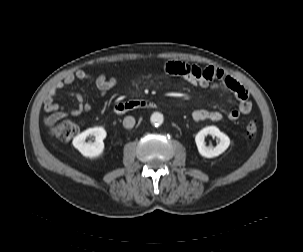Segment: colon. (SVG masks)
Instances as JSON below:
<instances>
[{"label": "colon", "mask_w": 303, "mask_h": 252, "mask_svg": "<svg viewBox=\"0 0 303 252\" xmlns=\"http://www.w3.org/2000/svg\"><path fill=\"white\" fill-rule=\"evenodd\" d=\"M258 131V123L250 121L246 126V133L248 136H254ZM79 132L78 126L72 121H62L51 126L48 129V134L52 137L68 140L75 137Z\"/></svg>", "instance_id": "colon-1"}]
</instances>
